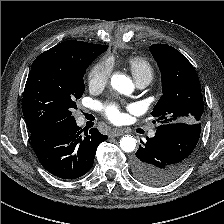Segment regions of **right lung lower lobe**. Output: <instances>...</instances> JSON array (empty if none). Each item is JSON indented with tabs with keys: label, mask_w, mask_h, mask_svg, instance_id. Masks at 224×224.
Returning <instances> with one entry per match:
<instances>
[{
	"label": "right lung lower lobe",
	"mask_w": 224,
	"mask_h": 224,
	"mask_svg": "<svg viewBox=\"0 0 224 224\" xmlns=\"http://www.w3.org/2000/svg\"><path fill=\"white\" fill-rule=\"evenodd\" d=\"M82 132L75 119L51 123L30 132L31 145L48 172L76 179L92 168L98 145L108 138L96 128Z\"/></svg>",
	"instance_id": "right-lung-lower-lobe-1"
}]
</instances>
